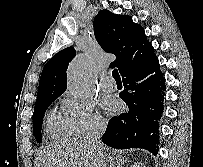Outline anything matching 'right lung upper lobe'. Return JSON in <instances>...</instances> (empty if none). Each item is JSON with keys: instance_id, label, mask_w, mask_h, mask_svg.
<instances>
[{"instance_id": "obj_1", "label": "right lung upper lobe", "mask_w": 203, "mask_h": 167, "mask_svg": "<svg viewBox=\"0 0 203 167\" xmlns=\"http://www.w3.org/2000/svg\"><path fill=\"white\" fill-rule=\"evenodd\" d=\"M94 34L106 52L116 55V60L110 66L117 67L122 76L156 57L143 27L134 23L129 15H117L109 10H101L94 19ZM75 55L74 48L68 47L45 64L36 103L64 93L67 88L68 64Z\"/></svg>"}]
</instances>
